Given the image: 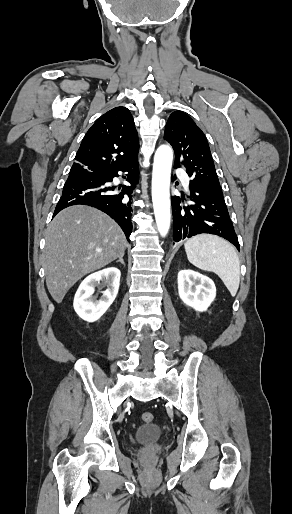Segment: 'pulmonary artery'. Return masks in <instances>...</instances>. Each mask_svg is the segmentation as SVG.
I'll use <instances>...</instances> for the list:
<instances>
[{
	"label": "pulmonary artery",
	"mask_w": 292,
	"mask_h": 514,
	"mask_svg": "<svg viewBox=\"0 0 292 514\" xmlns=\"http://www.w3.org/2000/svg\"><path fill=\"white\" fill-rule=\"evenodd\" d=\"M182 176H183V182H184L185 186L188 187L189 186L188 176L185 173H183Z\"/></svg>",
	"instance_id": "pulmonary-artery-1"
}]
</instances>
